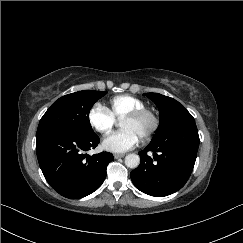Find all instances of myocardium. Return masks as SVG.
Returning a JSON list of instances; mask_svg holds the SVG:
<instances>
[{"label":"myocardium","instance_id":"1","mask_svg":"<svg viewBox=\"0 0 243 243\" xmlns=\"http://www.w3.org/2000/svg\"><path fill=\"white\" fill-rule=\"evenodd\" d=\"M145 117L150 119L151 126H150L149 131L146 133V135L141 139L142 142L149 141L154 136L156 131L158 130L159 125H160V120H159L158 115L155 112L144 108V109H139V110L133 111V112L125 115L122 118V120H124V119L139 120V119H142Z\"/></svg>","mask_w":243,"mask_h":243}]
</instances>
